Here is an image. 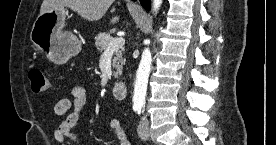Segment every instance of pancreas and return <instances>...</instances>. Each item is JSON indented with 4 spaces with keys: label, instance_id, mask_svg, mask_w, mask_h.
Returning <instances> with one entry per match:
<instances>
[{
    "label": "pancreas",
    "instance_id": "1",
    "mask_svg": "<svg viewBox=\"0 0 276 145\" xmlns=\"http://www.w3.org/2000/svg\"><path fill=\"white\" fill-rule=\"evenodd\" d=\"M112 40H113V37H111L109 33H106V32L99 33L95 37V46H96L97 50L102 53V52L106 51L109 43ZM122 50H123V48H120V49H117L114 51L112 66H113V68L116 69V71H114V73H113V76L115 78H118L122 74V69H123V64H124Z\"/></svg>",
    "mask_w": 276,
    "mask_h": 145
}]
</instances>
